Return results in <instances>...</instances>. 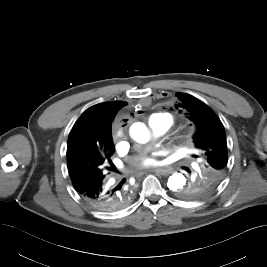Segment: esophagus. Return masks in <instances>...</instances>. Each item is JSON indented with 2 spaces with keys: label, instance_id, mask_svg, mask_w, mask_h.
I'll use <instances>...</instances> for the list:
<instances>
[{
  "label": "esophagus",
  "instance_id": "esophagus-1",
  "mask_svg": "<svg viewBox=\"0 0 267 267\" xmlns=\"http://www.w3.org/2000/svg\"><path fill=\"white\" fill-rule=\"evenodd\" d=\"M152 172L159 174V175L166 176L170 174L172 171L169 168H156V169H153Z\"/></svg>",
  "mask_w": 267,
  "mask_h": 267
}]
</instances>
